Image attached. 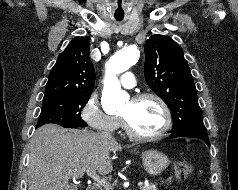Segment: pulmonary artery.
Wrapping results in <instances>:
<instances>
[{"label":"pulmonary artery","instance_id":"pulmonary-artery-1","mask_svg":"<svg viewBox=\"0 0 238 190\" xmlns=\"http://www.w3.org/2000/svg\"><path fill=\"white\" fill-rule=\"evenodd\" d=\"M121 85L124 88L131 89L136 85L135 76L132 72H125L120 79Z\"/></svg>","mask_w":238,"mask_h":190}]
</instances>
